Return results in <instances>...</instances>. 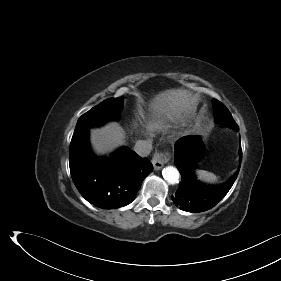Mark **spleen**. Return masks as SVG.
<instances>
[{
	"label": "spleen",
	"instance_id": "obj_1",
	"mask_svg": "<svg viewBox=\"0 0 281 281\" xmlns=\"http://www.w3.org/2000/svg\"><path fill=\"white\" fill-rule=\"evenodd\" d=\"M196 174L199 180L207 183H213L218 179L214 173L208 172L206 170H196Z\"/></svg>",
	"mask_w": 281,
	"mask_h": 281
}]
</instances>
